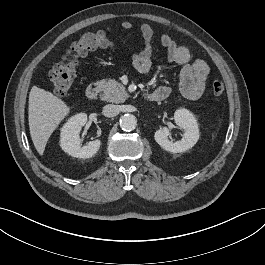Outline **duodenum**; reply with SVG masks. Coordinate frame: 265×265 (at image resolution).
<instances>
[{"label": "duodenum", "instance_id": "410a0bca", "mask_svg": "<svg viewBox=\"0 0 265 265\" xmlns=\"http://www.w3.org/2000/svg\"><path fill=\"white\" fill-rule=\"evenodd\" d=\"M100 88L98 84H90L86 89V97L88 100L93 101L98 97ZM165 95L161 92H153L146 96V100L149 102H156L163 100Z\"/></svg>", "mask_w": 265, "mask_h": 265}]
</instances>
